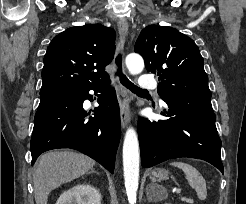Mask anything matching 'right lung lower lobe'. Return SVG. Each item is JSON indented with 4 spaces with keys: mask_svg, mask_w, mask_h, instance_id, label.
I'll list each match as a JSON object with an SVG mask.
<instances>
[{
    "mask_svg": "<svg viewBox=\"0 0 246 204\" xmlns=\"http://www.w3.org/2000/svg\"><path fill=\"white\" fill-rule=\"evenodd\" d=\"M105 83L58 89L40 94L31 138L32 165L48 150H78L114 172L120 140V113L116 93ZM90 90L100 92L94 117L83 109L84 100H92Z\"/></svg>",
    "mask_w": 246,
    "mask_h": 204,
    "instance_id": "98d812e1",
    "label": "right lung lower lobe"
}]
</instances>
